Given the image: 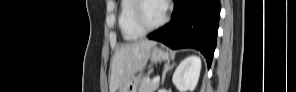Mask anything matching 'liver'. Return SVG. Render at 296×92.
<instances>
[{
    "label": "liver",
    "mask_w": 296,
    "mask_h": 92,
    "mask_svg": "<svg viewBox=\"0 0 296 92\" xmlns=\"http://www.w3.org/2000/svg\"><path fill=\"white\" fill-rule=\"evenodd\" d=\"M155 41L139 40L122 45L114 53L111 63L110 92L120 89L134 74L148 62Z\"/></svg>",
    "instance_id": "1"
}]
</instances>
